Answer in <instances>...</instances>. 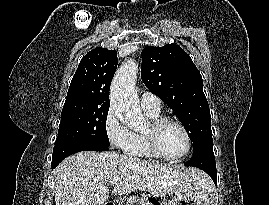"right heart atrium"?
I'll use <instances>...</instances> for the list:
<instances>
[{"label": "right heart atrium", "instance_id": "1", "mask_svg": "<svg viewBox=\"0 0 269 205\" xmlns=\"http://www.w3.org/2000/svg\"><path fill=\"white\" fill-rule=\"evenodd\" d=\"M103 128L110 145L116 149L125 151L132 140V132L117 118L112 107L105 115Z\"/></svg>", "mask_w": 269, "mask_h": 205}]
</instances>
